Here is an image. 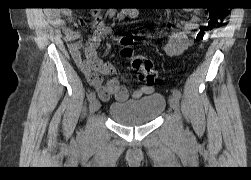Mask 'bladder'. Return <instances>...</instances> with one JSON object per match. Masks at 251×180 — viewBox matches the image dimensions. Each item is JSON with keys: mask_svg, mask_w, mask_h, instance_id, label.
<instances>
[{"mask_svg": "<svg viewBox=\"0 0 251 180\" xmlns=\"http://www.w3.org/2000/svg\"><path fill=\"white\" fill-rule=\"evenodd\" d=\"M165 107V97L160 93H153L139 100L114 102L109 107V115L120 125L135 127L155 121Z\"/></svg>", "mask_w": 251, "mask_h": 180, "instance_id": "31cf9c89", "label": "bladder"}]
</instances>
